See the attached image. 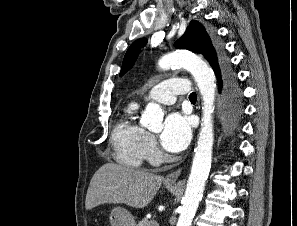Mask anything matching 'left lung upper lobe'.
Here are the masks:
<instances>
[{"mask_svg": "<svg viewBox=\"0 0 297 226\" xmlns=\"http://www.w3.org/2000/svg\"><path fill=\"white\" fill-rule=\"evenodd\" d=\"M146 42L147 39L143 38L132 43L125 54L120 75H123L133 66L138 56L139 49L142 48ZM174 46L178 49H188L202 54L210 63L215 73L220 72L215 49L204 27L199 22L191 21L183 36L175 42ZM220 64L222 69H224L225 60L221 59Z\"/></svg>", "mask_w": 297, "mask_h": 226, "instance_id": "5c2ea615", "label": "left lung upper lobe"}]
</instances>
